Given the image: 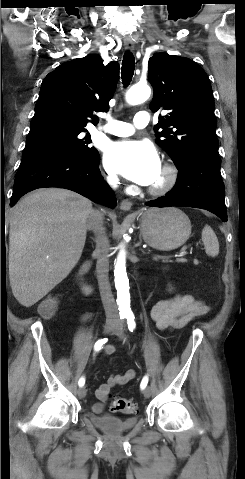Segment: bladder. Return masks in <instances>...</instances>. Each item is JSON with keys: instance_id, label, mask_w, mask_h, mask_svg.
<instances>
[{"instance_id": "obj_1", "label": "bladder", "mask_w": 245, "mask_h": 479, "mask_svg": "<svg viewBox=\"0 0 245 479\" xmlns=\"http://www.w3.org/2000/svg\"><path fill=\"white\" fill-rule=\"evenodd\" d=\"M91 422L94 426L100 428L107 434L116 435L131 429L136 421V417L117 418L112 416H90Z\"/></svg>"}]
</instances>
